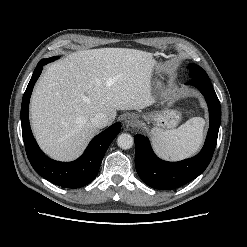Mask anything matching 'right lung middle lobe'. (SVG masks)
Listing matches in <instances>:
<instances>
[{
    "label": "right lung middle lobe",
    "instance_id": "right-lung-middle-lobe-1",
    "mask_svg": "<svg viewBox=\"0 0 247 247\" xmlns=\"http://www.w3.org/2000/svg\"><path fill=\"white\" fill-rule=\"evenodd\" d=\"M53 58V60H56L58 57H52Z\"/></svg>",
    "mask_w": 247,
    "mask_h": 247
}]
</instances>
